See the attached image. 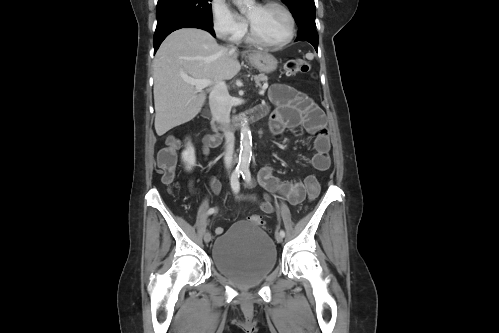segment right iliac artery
I'll return each instance as SVG.
<instances>
[{"instance_id":"1","label":"right iliac artery","mask_w":499,"mask_h":333,"mask_svg":"<svg viewBox=\"0 0 499 333\" xmlns=\"http://www.w3.org/2000/svg\"><path fill=\"white\" fill-rule=\"evenodd\" d=\"M242 168H236L231 176V188L235 194H237L240 190L239 177L242 173ZM215 212V208H210L208 210V214L211 215Z\"/></svg>"}]
</instances>
